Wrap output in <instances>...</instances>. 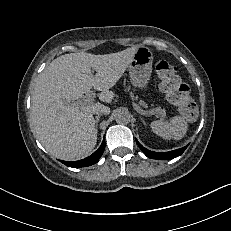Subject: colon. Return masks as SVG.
Wrapping results in <instances>:
<instances>
[{
	"label": "colon",
	"mask_w": 231,
	"mask_h": 231,
	"mask_svg": "<svg viewBox=\"0 0 231 231\" xmlns=\"http://www.w3.org/2000/svg\"><path fill=\"white\" fill-rule=\"evenodd\" d=\"M156 73L160 88L167 100L177 107L181 115L187 120H193L198 114V108L192 99L189 87L181 80L176 66L167 61L156 64Z\"/></svg>",
	"instance_id": "obj_1"
}]
</instances>
